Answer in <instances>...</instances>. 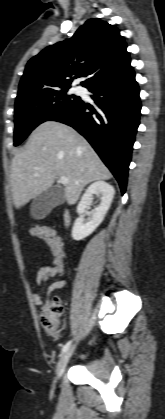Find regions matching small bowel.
I'll use <instances>...</instances> for the list:
<instances>
[{
    "label": "small bowel",
    "mask_w": 165,
    "mask_h": 419,
    "mask_svg": "<svg viewBox=\"0 0 165 419\" xmlns=\"http://www.w3.org/2000/svg\"><path fill=\"white\" fill-rule=\"evenodd\" d=\"M36 228V227H34ZM39 240L45 241L42 237H38ZM59 273V269L56 265H41L37 268L36 272V284L37 286H42L43 284L47 283L50 279L55 277ZM67 284L66 279H60L54 281L46 288V294H50L51 292L61 289L65 287ZM43 291L35 293L33 295V301L37 306H41L44 303V299L42 297Z\"/></svg>",
    "instance_id": "c3829d8e"
}]
</instances>
